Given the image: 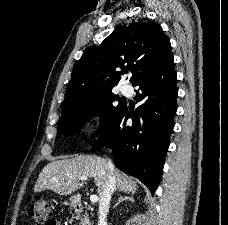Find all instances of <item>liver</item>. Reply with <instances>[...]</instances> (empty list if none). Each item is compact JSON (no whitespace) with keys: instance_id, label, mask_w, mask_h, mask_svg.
<instances>
[{"instance_id":"6515ba94","label":"liver","mask_w":228,"mask_h":225,"mask_svg":"<svg viewBox=\"0 0 228 225\" xmlns=\"http://www.w3.org/2000/svg\"><path fill=\"white\" fill-rule=\"evenodd\" d=\"M111 173L115 177L118 191H123V193H135V191H138L136 185L138 181L123 175L117 169L109 171L107 159L96 157V155H73V159L52 161V163L46 165L37 179L34 193L53 191L57 195H65L67 197V195H72L77 189L83 187L84 183H80V177H90V179H94L101 203L104 195L103 187L106 185Z\"/></svg>"}]
</instances>
